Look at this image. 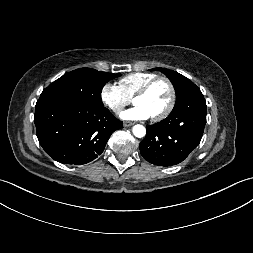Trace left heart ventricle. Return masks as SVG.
I'll use <instances>...</instances> for the list:
<instances>
[{
    "instance_id": "obj_1",
    "label": "left heart ventricle",
    "mask_w": 253,
    "mask_h": 253,
    "mask_svg": "<svg viewBox=\"0 0 253 253\" xmlns=\"http://www.w3.org/2000/svg\"><path fill=\"white\" fill-rule=\"evenodd\" d=\"M169 100L170 90L167 83L165 81H158L147 94L136 98L134 103L141 105L150 117H154L167 107Z\"/></svg>"
}]
</instances>
